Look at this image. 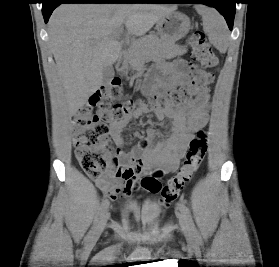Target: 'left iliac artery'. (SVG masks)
I'll return each mask as SVG.
<instances>
[{
    "label": "left iliac artery",
    "instance_id": "obj_1",
    "mask_svg": "<svg viewBox=\"0 0 279 267\" xmlns=\"http://www.w3.org/2000/svg\"><path fill=\"white\" fill-rule=\"evenodd\" d=\"M179 208H180V211L181 213L183 214V216L185 217L186 219V222L188 223V225L190 226L191 230L193 231L196 239L199 241L200 240V236L197 232V229L195 227V224L193 222V219H192V216H191V213H190V210L188 209V207L184 204H180L179 205Z\"/></svg>",
    "mask_w": 279,
    "mask_h": 267
}]
</instances>
